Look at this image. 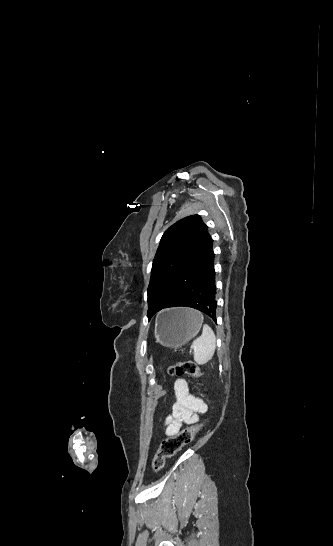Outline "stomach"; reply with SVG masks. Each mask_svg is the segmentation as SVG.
<instances>
[{"mask_svg":"<svg viewBox=\"0 0 333 546\" xmlns=\"http://www.w3.org/2000/svg\"><path fill=\"white\" fill-rule=\"evenodd\" d=\"M202 324L198 311L182 307L168 309L156 317V342L169 348L181 347L199 333Z\"/></svg>","mask_w":333,"mask_h":546,"instance_id":"stomach-1","label":"stomach"}]
</instances>
